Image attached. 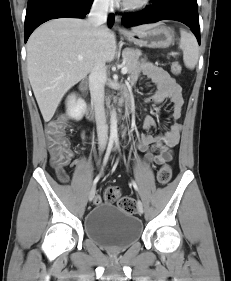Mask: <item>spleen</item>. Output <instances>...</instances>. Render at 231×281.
I'll return each mask as SVG.
<instances>
[{
  "instance_id": "spleen-1",
  "label": "spleen",
  "mask_w": 231,
  "mask_h": 281,
  "mask_svg": "<svg viewBox=\"0 0 231 281\" xmlns=\"http://www.w3.org/2000/svg\"><path fill=\"white\" fill-rule=\"evenodd\" d=\"M180 49L183 51V61L187 68L194 69L199 59L198 43L192 33L180 30Z\"/></svg>"
}]
</instances>
